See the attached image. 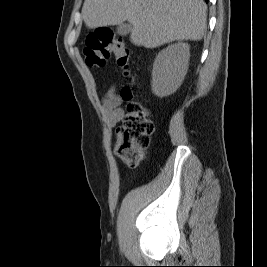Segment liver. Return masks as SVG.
<instances>
[{
	"mask_svg": "<svg viewBox=\"0 0 267 267\" xmlns=\"http://www.w3.org/2000/svg\"><path fill=\"white\" fill-rule=\"evenodd\" d=\"M206 10L203 0H85L82 17L90 29L128 21L130 41L152 49L176 40H201Z\"/></svg>",
	"mask_w": 267,
	"mask_h": 267,
	"instance_id": "obj_1",
	"label": "liver"
}]
</instances>
